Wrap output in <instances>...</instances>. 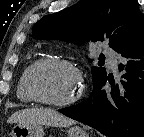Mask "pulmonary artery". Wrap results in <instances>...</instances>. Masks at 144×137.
Returning <instances> with one entry per match:
<instances>
[{
  "label": "pulmonary artery",
  "mask_w": 144,
  "mask_h": 137,
  "mask_svg": "<svg viewBox=\"0 0 144 137\" xmlns=\"http://www.w3.org/2000/svg\"><path fill=\"white\" fill-rule=\"evenodd\" d=\"M104 54L110 62L112 68L117 71L118 69V55L111 49H105Z\"/></svg>",
  "instance_id": "obj_1"
}]
</instances>
